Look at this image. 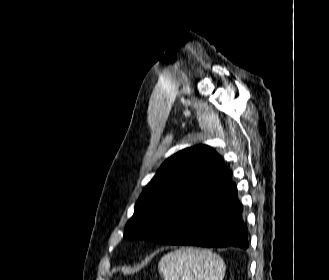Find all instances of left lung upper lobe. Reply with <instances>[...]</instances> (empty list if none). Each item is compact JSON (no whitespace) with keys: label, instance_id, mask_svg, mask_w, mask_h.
<instances>
[{"label":"left lung upper lobe","instance_id":"1","mask_svg":"<svg viewBox=\"0 0 329 280\" xmlns=\"http://www.w3.org/2000/svg\"><path fill=\"white\" fill-rule=\"evenodd\" d=\"M227 173L222 157L206 145L174 154L140 195L124 237L172 243L160 238L162 229L175 223L186 206L209 188L220 186Z\"/></svg>","mask_w":329,"mask_h":280}]
</instances>
